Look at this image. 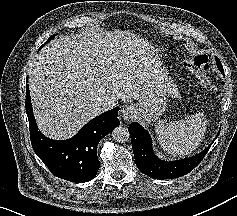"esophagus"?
<instances>
[{
    "mask_svg": "<svg viewBox=\"0 0 237 216\" xmlns=\"http://www.w3.org/2000/svg\"><path fill=\"white\" fill-rule=\"evenodd\" d=\"M136 107L132 103H125L121 109V117L124 120H132L135 116Z\"/></svg>",
    "mask_w": 237,
    "mask_h": 216,
    "instance_id": "1",
    "label": "esophagus"
}]
</instances>
